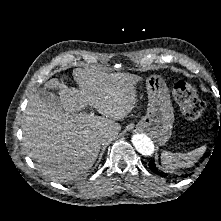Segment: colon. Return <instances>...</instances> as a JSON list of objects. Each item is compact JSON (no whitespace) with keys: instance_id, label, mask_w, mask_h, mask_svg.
Returning a JSON list of instances; mask_svg holds the SVG:
<instances>
[{"instance_id":"colon-1","label":"colon","mask_w":221,"mask_h":221,"mask_svg":"<svg viewBox=\"0 0 221 221\" xmlns=\"http://www.w3.org/2000/svg\"><path fill=\"white\" fill-rule=\"evenodd\" d=\"M174 96L187 119L198 120L202 118L205 113V104L199 99L191 84L185 81L177 82L174 86Z\"/></svg>"}]
</instances>
